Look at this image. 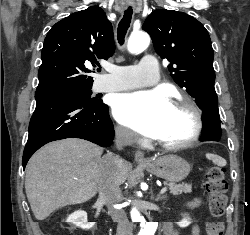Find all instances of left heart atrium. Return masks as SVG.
<instances>
[{"instance_id":"1","label":"left heart atrium","mask_w":250,"mask_h":235,"mask_svg":"<svg viewBox=\"0 0 250 235\" xmlns=\"http://www.w3.org/2000/svg\"><path fill=\"white\" fill-rule=\"evenodd\" d=\"M170 107L166 94L161 90L141 91L117 96L113 112L123 125L153 137Z\"/></svg>"}]
</instances>
